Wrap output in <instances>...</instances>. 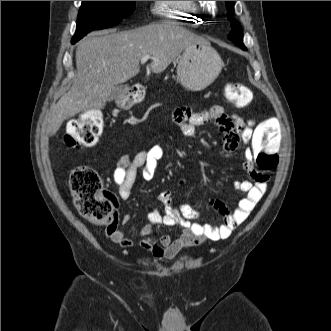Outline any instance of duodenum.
Here are the masks:
<instances>
[{
  "instance_id": "obj_1",
  "label": "duodenum",
  "mask_w": 331,
  "mask_h": 331,
  "mask_svg": "<svg viewBox=\"0 0 331 331\" xmlns=\"http://www.w3.org/2000/svg\"><path fill=\"white\" fill-rule=\"evenodd\" d=\"M145 95L144 87L137 85L128 90L127 96L132 102H139Z\"/></svg>"
}]
</instances>
